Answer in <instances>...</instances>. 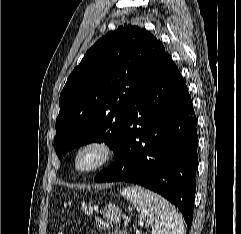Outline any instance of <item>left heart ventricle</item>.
I'll list each match as a JSON object with an SVG mask.
<instances>
[{
	"label": "left heart ventricle",
	"instance_id": "left-heart-ventricle-1",
	"mask_svg": "<svg viewBox=\"0 0 241 234\" xmlns=\"http://www.w3.org/2000/svg\"><path fill=\"white\" fill-rule=\"evenodd\" d=\"M98 157V153L94 150L84 152L80 157V165L82 167H88L92 165Z\"/></svg>",
	"mask_w": 241,
	"mask_h": 234
}]
</instances>
